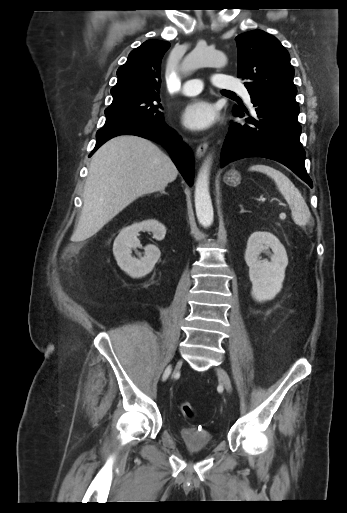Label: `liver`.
Returning a JSON list of instances; mask_svg holds the SVG:
<instances>
[{
    "label": "liver",
    "mask_w": 347,
    "mask_h": 513,
    "mask_svg": "<svg viewBox=\"0 0 347 513\" xmlns=\"http://www.w3.org/2000/svg\"><path fill=\"white\" fill-rule=\"evenodd\" d=\"M177 174L171 159L150 140L135 135L110 139L92 156L73 238L92 237L138 197L164 190Z\"/></svg>",
    "instance_id": "1"
}]
</instances>
